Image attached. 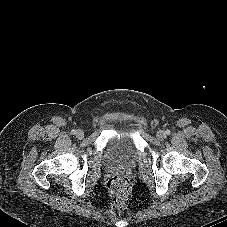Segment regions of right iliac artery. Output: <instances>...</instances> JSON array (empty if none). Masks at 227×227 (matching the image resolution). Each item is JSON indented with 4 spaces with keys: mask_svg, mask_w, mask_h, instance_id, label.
I'll return each mask as SVG.
<instances>
[{
    "mask_svg": "<svg viewBox=\"0 0 227 227\" xmlns=\"http://www.w3.org/2000/svg\"><path fill=\"white\" fill-rule=\"evenodd\" d=\"M71 133H72L73 135H75V134H76V130H72Z\"/></svg>",
    "mask_w": 227,
    "mask_h": 227,
    "instance_id": "obj_1",
    "label": "right iliac artery"
}]
</instances>
